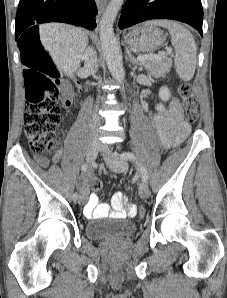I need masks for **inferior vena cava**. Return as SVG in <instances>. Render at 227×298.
Segmentation results:
<instances>
[{
  "instance_id": "1",
  "label": "inferior vena cava",
  "mask_w": 227,
  "mask_h": 298,
  "mask_svg": "<svg viewBox=\"0 0 227 298\" xmlns=\"http://www.w3.org/2000/svg\"><path fill=\"white\" fill-rule=\"evenodd\" d=\"M83 60H84V70L86 73L94 74L97 72L98 70L97 53L93 48L88 47L86 49L83 55ZM93 123L95 128L98 127V125L100 124V119L97 114L94 115ZM93 137L98 138L96 129L94 130Z\"/></svg>"
}]
</instances>
